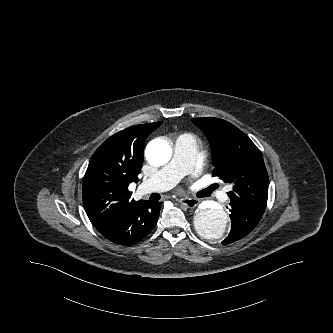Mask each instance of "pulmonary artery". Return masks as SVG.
<instances>
[{"instance_id": "1", "label": "pulmonary artery", "mask_w": 333, "mask_h": 333, "mask_svg": "<svg viewBox=\"0 0 333 333\" xmlns=\"http://www.w3.org/2000/svg\"><path fill=\"white\" fill-rule=\"evenodd\" d=\"M197 156L196 139L188 134L177 137L172 160L141 185L144 193L165 191L174 187L192 168Z\"/></svg>"}]
</instances>
